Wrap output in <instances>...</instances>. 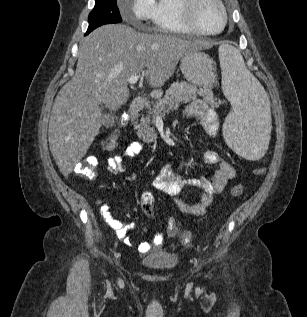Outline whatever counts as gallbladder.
I'll return each mask as SVG.
<instances>
[{
    "label": "gallbladder",
    "instance_id": "gallbladder-1",
    "mask_svg": "<svg viewBox=\"0 0 307 317\" xmlns=\"http://www.w3.org/2000/svg\"><path fill=\"white\" fill-rule=\"evenodd\" d=\"M114 124V117L111 113H107L103 108V125L106 128L112 127Z\"/></svg>",
    "mask_w": 307,
    "mask_h": 317
}]
</instances>
